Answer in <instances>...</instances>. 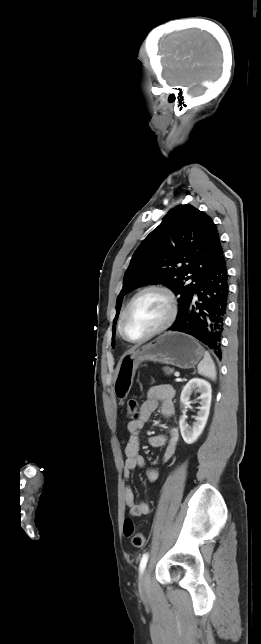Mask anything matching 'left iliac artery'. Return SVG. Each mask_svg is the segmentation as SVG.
<instances>
[{
	"instance_id": "left-iliac-artery-1",
	"label": "left iliac artery",
	"mask_w": 261,
	"mask_h": 644,
	"mask_svg": "<svg viewBox=\"0 0 261 644\" xmlns=\"http://www.w3.org/2000/svg\"><path fill=\"white\" fill-rule=\"evenodd\" d=\"M148 557H149L148 553L143 554V556L141 558V561H140V565H139L140 573H142L144 571V569L146 567V564H147V561H148Z\"/></svg>"
}]
</instances>
